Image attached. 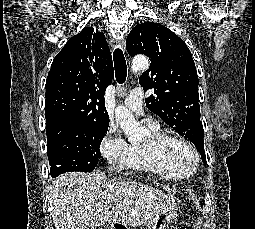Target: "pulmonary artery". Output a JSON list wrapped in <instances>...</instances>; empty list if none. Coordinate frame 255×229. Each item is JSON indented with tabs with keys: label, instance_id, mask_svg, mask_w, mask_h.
I'll return each mask as SVG.
<instances>
[{
	"label": "pulmonary artery",
	"instance_id": "obj_1",
	"mask_svg": "<svg viewBox=\"0 0 255 229\" xmlns=\"http://www.w3.org/2000/svg\"><path fill=\"white\" fill-rule=\"evenodd\" d=\"M124 105L130 109L131 111L135 112L136 114L140 115L142 113L143 107V91L139 87L133 88L128 96L124 100ZM144 122L150 128H158V123L153 121L152 119H146Z\"/></svg>",
	"mask_w": 255,
	"mask_h": 229
}]
</instances>
